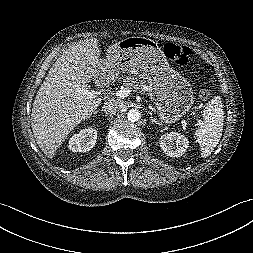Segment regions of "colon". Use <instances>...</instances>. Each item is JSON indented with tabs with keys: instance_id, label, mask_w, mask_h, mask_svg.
Masks as SVG:
<instances>
[{
	"instance_id": "obj_1",
	"label": "colon",
	"mask_w": 253,
	"mask_h": 253,
	"mask_svg": "<svg viewBox=\"0 0 253 253\" xmlns=\"http://www.w3.org/2000/svg\"><path fill=\"white\" fill-rule=\"evenodd\" d=\"M165 56L174 64L184 66L191 63V50L186 46L167 43L164 46ZM202 99H207L210 91L207 88H202L199 92Z\"/></svg>"
}]
</instances>
